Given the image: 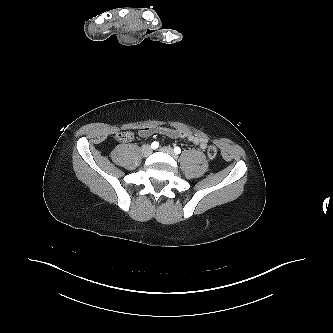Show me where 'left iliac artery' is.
I'll use <instances>...</instances> for the list:
<instances>
[{"instance_id": "obj_1", "label": "left iliac artery", "mask_w": 333, "mask_h": 333, "mask_svg": "<svg viewBox=\"0 0 333 333\" xmlns=\"http://www.w3.org/2000/svg\"><path fill=\"white\" fill-rule=\"evenodd\" d=\"M174 152H175L176 154H180L181 149H180L179 147H175V148H174Z\"/></svg>"}]
</instances>
